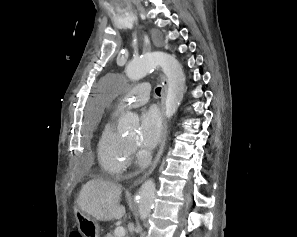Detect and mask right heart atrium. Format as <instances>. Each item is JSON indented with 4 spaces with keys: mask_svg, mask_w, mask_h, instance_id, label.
<instances>
[{
    "mask_svg": "<svg viewBox=\"0 0 297 237\" xmlns=\"http://www.w3.org/2000/svg\"><path fill=\"white\" fill-rule=\"evenodd\" d=\"M130 149H131V155H132V156H136L137 153H138L136 147L133 146V145H130Z\"/></svg>",
    "mask_w": 297,
    "mask_h": 237,
    "instance_id": "right-heart-atrium-1",
    "label": "right heart atrium"
}]
</instances>
